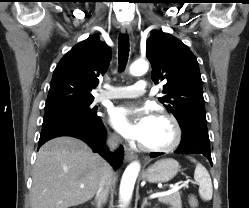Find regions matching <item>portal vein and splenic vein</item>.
<instances>
[{
  "instance_id": "obj_1",
  "label": "portal vein and splenic vein",
  "mask_w": 249,
  "mask_h": 208,
  "mask_svg": "<svg viewBox=\"0 0 249 208\" xmlns=\"http://www.w3.org/2000/svg\"><path fill=\"white\" fill-rule=\"evenodd\" d=\"M84 186L81 185V188H83ZM181 188V186L179 184H175L171 189L167 190V191H162V192H157L154 193L152 195H150V199H154L157 197H161V196H165V195H170L172 193H175L176 191H178Z\"/></svg>"
}]
</instances>
